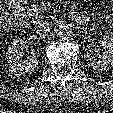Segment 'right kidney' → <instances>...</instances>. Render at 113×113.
<instances>
[{"instance_id": "right-kidney-1", "label": "right kidney", "mask_w": 113, "mask_h": 113, "mask_svg": "<svg viewBox=\"0 0 113 113\" xmlns=\"http://www.w3.org/2000/svg\"><path fill=\"white\" fill-rule=\"evenodd\" d=\"M25 44L23 39H15L9 46L7 59L9 71L16 76L32 72L38 65V53L31 52V56L27 60H23V48Z\"/></svg>"}]
</instances>
